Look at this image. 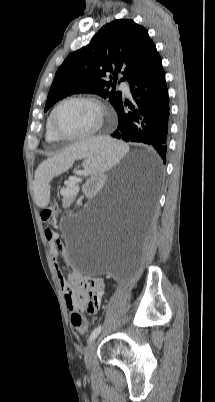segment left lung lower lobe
<instances>
[{"label":"left lung lower lobe","mask_w":215,"mask_h":402,"mask_svg":"<svg viewBox=\"0 0 215 402\" xmlns=\"http://www.w3.org/2000/svg\"><path fill=\"white\" fill-rule=\"evenodd\" d=\"M128 82L135 106L123 100L118 104L115 108L118 127L111 136L126 142L148 144L166 163L170 106L161 57ZM125 106L131 111L126 112ZM161 172L162 166L157 161L156 168L145 173L149 184L154 186Z\"/></svg>","instance_id":"0a47b994"}]
</instances>
